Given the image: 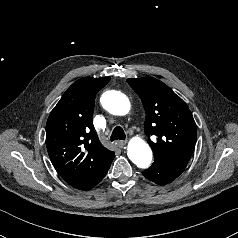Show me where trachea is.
I'll list each match as a JSON object with an SVG mask.
<instances>
[{
	"label": "trachea",
	"mask_w": 238,
	"mask_h": 238,
	"mask_svg": "<svg viewBox=\"0 0 238 238\" xmlns=\"http://www.w3.org/2000/svg\"><path fill=\"white\" fill-rule=\"evenodd\" d=\"M125 132L124 130L120 127V126H117L114 128L112 134H111V137H110V140L111 141H114V140H125Z\"/></svg>",
	"instance_id": "trachea-1"
}]
</instances>
